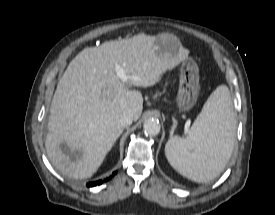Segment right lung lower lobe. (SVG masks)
I'll use <instances>...</instances> for the list:
<instances>
[{
    "label": "right lung lower lobe",
    "mask_w": 275,
    "mask_h": 215,
    "mask_svg": "<svg viewBox=\"0 0 275 215\" xmlns=\"http://www.w3.org/2000/svg\"><path fill=\"white\" fill-rule=\"evenodd\" d=\"M116 174V172H114L112 175H115ZM110 178H107L106 180H109ZM102 180H99V181H96V182H90V183H88L87 184V186L88 187H92V186H96V185H100V184H102Z\"/></svg>",
    "instance_id": "98d812e1"
}]
</instances>
